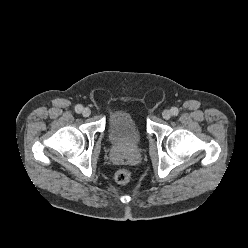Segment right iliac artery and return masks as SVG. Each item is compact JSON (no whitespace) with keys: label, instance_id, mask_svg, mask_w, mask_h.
Masks as SVG:
<instances>
[{"label":"right iliac artery","instance_id":"82829eb1","mask_svg":"<svg viewBox=\"0 0 248 248\" xmlns=\"http://www.w3.org/2000/svg\"><path fill=\"white\" fill-rule=\"evenodd\" d=\"M82 110H83L82 105H76L75 111H76L77 113H81Z\"/></svg>","mask_w":248,"mask_h":248}]
</instances>
